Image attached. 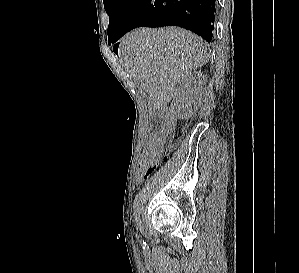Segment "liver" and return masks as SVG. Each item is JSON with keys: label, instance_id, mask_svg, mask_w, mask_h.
<instances>
[{"label": "liver", "instance_id": "1", "mask_svg": "<svg viewBox=\"0 0 299 273\" xmlns=\"http://www.w3.org/2000/svg\"><path fill=\"white\" fill-rule=\"evenodd\" d=\"M121 64L153 101L155 108L170 102L176 85L209 59L207 44L178 27L136 29L120 42Z\"/></svg>", "mask_w": 299, "mask_h": 273}]
</instances>
